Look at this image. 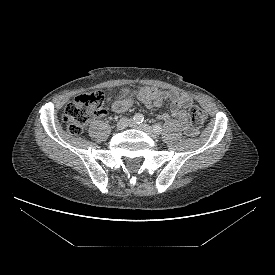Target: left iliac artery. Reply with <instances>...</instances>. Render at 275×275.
<instances>
[{
  "label": "left iliac artery",
  "mask_w": 275,
  "mask_h": 275,
  "mask_svg": "<svg viewBox=\"0 0 275 275\" xmlns=\"http://www.w3.org/2000/svg\"><path fill=\"white\" fill-rule=\"evenodd\" d=\"M153 130L157 133V134H161L163 129L162 126L160 124H154L153 125Z\"/></svg>",
  "instance_id": "obj_1"
}]
</instances>
